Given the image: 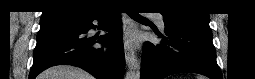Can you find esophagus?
Returning a JSON list of instances; mask_svg holds the SVG:
<instances>
[{"label": "esophagus", "instance_id": "esophagus-1", "mask_svg": "<svg viewBox=\"0 0 255 79\" xmlns=\"http://www.w3.org/2000/svg\"><path fill=\"white\" fill-rule=\"evenodd\" d=\"M126 33L127 31L130 30V28L132 27V22L129 18H126ZM124 53H125V60L128 66L131 65V63L134 60L135 57V53L132 50V48H130V46L127 44V42L124 43Z\"/></svg>", "mask_w": 255, "mask_h": 79}]
</instances>
